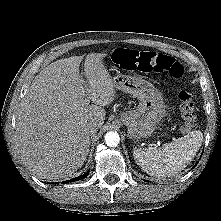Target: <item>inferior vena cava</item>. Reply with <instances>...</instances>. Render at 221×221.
<instances>
[{"label":"inferior vena cava","mask_w":221,"mask_h":221,"mask_svg":"<svg viewBox=\"0 0 221 221\" xmlns=\"http://www.w3.org/2000/svg\"><path fill=\"white\" fill-rule=\"evenodd\" d=\"M99 124L97 122H90L87 124V131L90 135H93L97 132Z\"/></svg>","instance_id":"inferior-vena-cava-1"}]
</instances>
